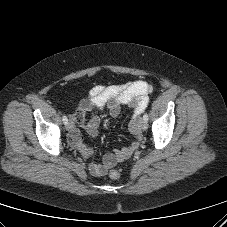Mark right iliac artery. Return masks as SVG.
Masks as SVG:
<instances>
[{
    "label": "right iliac artery",
    "mask_w": 227,
    "mask_h": 227,
    "mask_svg": "<svg viewBox=\"0 0 227 227\" xmlns=\"http://www.w3.org/2000/svg\"><path fill=\"white\" fill-rule=\"evenodd\" d=\"M62 120H63V123H64L65 125L68 123V119H67V117H66L65 115H63Z\"/></svg>",
    "instance_id": "obj_1"
}]
</instances>
